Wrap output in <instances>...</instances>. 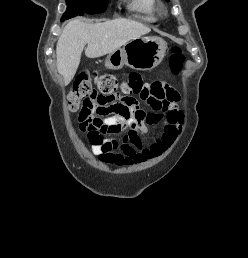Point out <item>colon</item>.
Returning a JSON list of instances; mask_svg holds the SVG:
<instances>
[{"instance_id": "obj_1", "label": "colon", "mask_w": 248, "mask_h": 258, "mask_svg": "<svg viewBox=\"0 0 248 258\" xmlns=\"http://www.w3.org/2000/svg\"><path fill=\"white\" fill-rule=\"evenodd\" d=\"M185 62V57L179 47L172 49L169 58V68L173 75H179ZM122 92L125 95H140L144 98L147 90L143 87V82L138 74H131L125 82L120 83L114 75H103L98 79L97 87L94 88L87 76L78 79L68 95V108L71 111H77L81 106L85 111L89 125L84 130L89 137V141H102L103 133L113 130L114 127L103 125V121L95 118V114L114 112L118 115L128 118L129 111L122 105H114L109 108L104 106L110 102L115 94ZM156 91L154 85L149 89L152 94Z\"/></svg>"}]
</instances>
